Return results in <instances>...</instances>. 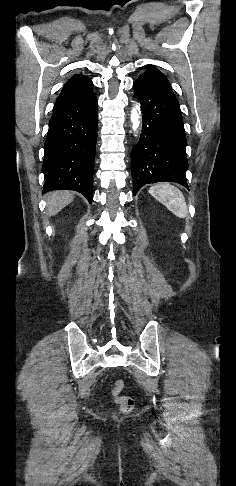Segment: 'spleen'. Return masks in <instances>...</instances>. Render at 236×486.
<instances>
[{"label":"spleen","instance_id":"3e777b00","mask_svg":"<svg viewBox=\"0 0 236 486\" xmlns=\"http://www.w3.org/2000/svg\"><path fill=\"white\" fill-rule=\"evenodd\" d=\"M149 193L177 217L185 218L187 216L185 198L177 187L166 183L157 184L149 189Z\"/></svg>","mask_w":236,"mask_h":486}]
</instances>
